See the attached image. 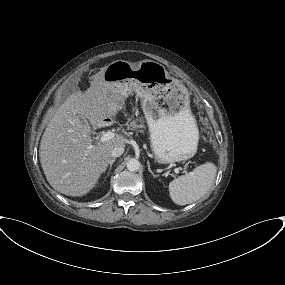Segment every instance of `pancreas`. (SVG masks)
<instances>
[{"label": "pancreas", "mask_w": 285, "mask_h": 285, "mask_svg": "<svg viewBox=\"0 0 285 285\" xmlns=\"http://www.w3.org/2000/svg\"><path fill=\"white\" fill-rule=\"evenodd\" d=\"M127 129L136 130L139 127H142V125H138L136 121H128L126 123Z\"/></svg>", "instance_id": "1"}]
</instances>
